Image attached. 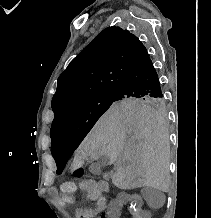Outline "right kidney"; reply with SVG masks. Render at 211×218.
Returning <instances> with one entry per match:
<instances>
[{
  "label": "right kidney",
  "mask_w": 211,
  "mask_h": 218,
  "mask_svg": "<svg viewBox=\"0 0 211 218\" xmlns=\"http://www.w3.org/2000/svg\"><path fill=\"white\" fill-rule=\"evenodd\" d=\"M118 201H113V206H108L107 214L109 218H122L124 213L125 218H142L141 215H129L139 214L140 206L139 202L143 201L142 197H138L137 193H116ZM121 206H125L124 210Z\"/></svg>",
  "instance_id": "right-kidney-1"
}]
</instances>
